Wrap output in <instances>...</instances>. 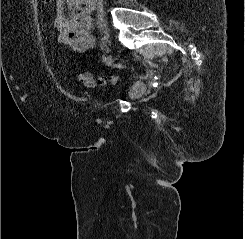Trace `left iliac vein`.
I'll return each mask as SVG.
<instances>
[{
    "instance_id": "4c4485c4",
    "label": "left iliac vein",
    "mask_w": 245,
    "mask_h": 239,
    "mask_svg": "<svg viewBox=\"0 0 245 239\" xmlns=\"http://www.w3.org/2000/svg\"><path fill=\"white\" fill-rule=\"evenodd\" d=\"M106 65L107 66H111L112 65V63H113V57H112V55H108L107 57H106Z\"/></svg>"
}]
</instances>
